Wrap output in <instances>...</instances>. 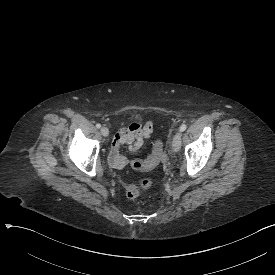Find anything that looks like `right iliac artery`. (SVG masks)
<instances>
[{
  "instance_id": "82829eb1",
  "label": "right iliac artery",
  "mask_w": 275,
  "mask_h": 275,
  "mask_svg": "<svg viewBox=\"0 0 275 275\" xmlns=\"http://www.w3.org/2000/svg\"><path fill=\"white\" fill-rule=\"evenodd\" d=\"M96 127L99 129V128H101V124L100 123H97L96 124Z\"/></svg>"
}]
</instances>
